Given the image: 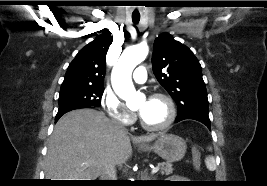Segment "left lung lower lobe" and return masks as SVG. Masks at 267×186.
Instances as JSON below:
<instances>
[{"label":"left lung lower lobe","mask_w":267,"mask_h":186,"mask_svg":"<svg viewBox=\"0 0 267 186\" xmlns=\"http://www.w3.org/2000/svg\"><path fill=\"white\" fill-rule=\"evenodd\" d=\"M185 119H193V120H197L201 123H203L204 125H206L209 129L211 127V122L208 116H204V115H185L182 117H177L176 122L185 120Z\"/></svg>","instance_id":"1"}]
</instances>
